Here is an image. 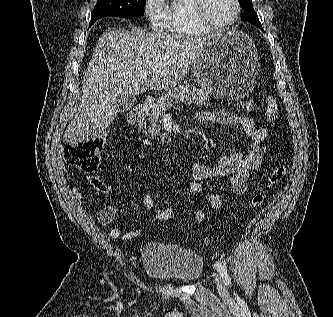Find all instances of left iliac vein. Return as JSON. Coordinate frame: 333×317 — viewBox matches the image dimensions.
<instances>
[{
	"mask_svg": "<svg viewBox=\"0 0 333 317\" xmlns=\"http://www.w3.org/2000/svg\"><path fill=\"white\" fill-rule=\"evenodd\" d=\"M215 280H216L218 292L221 295V297L224 299L229 298V292H228V289L226 287L225 281L222 278V276L220 274H217Z\"/></svg>",
	"mask_w": 333,
	"mask_h": 317,
	"instance_id": "1",
	"label": "left iliac vein"
}]
</instances>
